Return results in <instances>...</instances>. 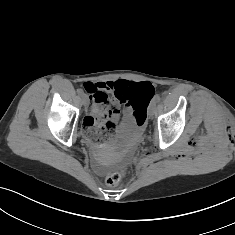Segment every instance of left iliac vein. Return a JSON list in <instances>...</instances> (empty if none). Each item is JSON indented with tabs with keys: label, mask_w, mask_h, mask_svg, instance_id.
I'll use <instances>...</instances> for the list:
<instances>
[{
	"label": "left iliac vein",
	"mask_w": 235,
	"mask_h": 235,
	"mask_svg": "<svg viewBox=\"0 0 235 235\" xmlns=\"http://www.w3.org/2000/svg\"><path fill=\"white\" fill-rule=\"evenodd\" d=\"M155 111V102H153L149 108V116L152 117Z\"/></svg>",
	"instance_id": "4c4485c4"
}]
</instances>
